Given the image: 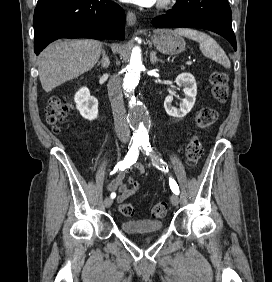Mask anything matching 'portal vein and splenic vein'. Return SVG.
<instances>
[{
    "instance_id": "obj_1",
    "label": "portal vein and splenic vein",
    "mask_w": 272,
    "mask_h": 282,
    "mask_svg": "<svg viewBox=\"0 0 272 282\" xmlns=\"http://www.w3.org/2000/svg\"><path fill=\"white\" fill-rule=\"evenodd\" d=\"M193 61H194V60H193ZM193 61H192V60H189V61L186 62V64H187V65H191V64L193 63Z\"/></svg>"
}]
</instances>
